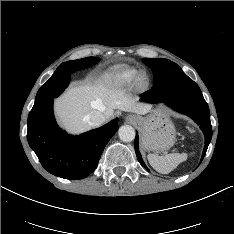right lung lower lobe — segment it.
<instances>
[{
    "instance_id": "1",
    "label": "right lung lower lobe",
    "mask_w": 234,
    "mask_h": 234,
    "mask_svg": "<svg viewBox=\"0 0 234 234\" xmlns=\"http://www.w3.org/2000/svg\"><path fill=\"white\" fill-rule=\"evenodd\" d=\"M71 72L55 71L38 90L28 116V143L49 173L77 180L90 175L101 154L119 128L118 119L79 136H70L58 126L53 101L68 86Z\"/></svg>"
}]
</instances>
